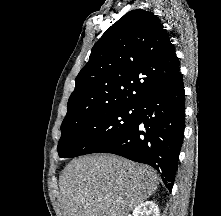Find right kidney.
Instances as JSON below:
<instances>
[{
	"label": "right kidney",
	"mask_w": 221,
	"mask_h": 216,
	"mask_svg": "<svg viewBox=\"0 0 221 216\" xmlns=\"http://www.w3.org/2000/svg\"><path fill=\"white\" fill-rule=\"evenodd\" d=\"M133 216H160L159 208L153 201H146L134 209Z\"/></svg>",
	"instance_id": "1"
}]
</instances>
